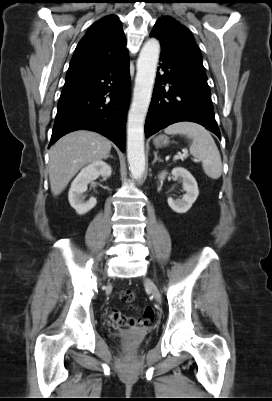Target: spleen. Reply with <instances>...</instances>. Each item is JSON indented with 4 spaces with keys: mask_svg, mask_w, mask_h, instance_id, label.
<instances>
[{
    "mask_svg": "<svg viewBox=\"0 0 272 401\" xmlns=\"http://www.w3.org/2000/svg\"><path fill=\"white\" fill-rule=\"evenodd\" d=\"M164 132L166 134L185 135L190 139V153L202 161L205 174L212 179L220 178L222 174L220 153L214 139L204 127L185 121L168 126Z\"/></svg>",
    "mask_w": 272,
    "mask_h": 401,
    "instance_id": "3e777b00",
    "label": "spleen"
}]
</instances>
